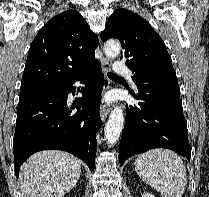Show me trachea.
<instances>
[{
    "mask_svg": "<svg viewBox=\"0 0 209 197\" xmlns=\"http://www.w3.org/2000/svg\"><path fill=\"white\" fill-rule=\"evenodd\" d=\"M108 77L111 78V79H114V78H119V76H117L116 74H113V73H107Z\"/></svg>",
    "mask_w": 209,
    "mask_h": 197,
    "instance_id": "3493384b",
    "label": "trachea"
}]
</instances>
